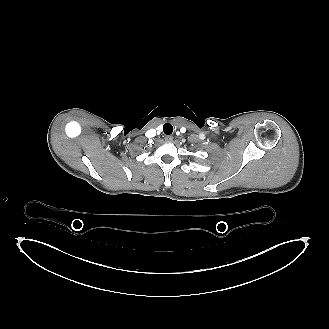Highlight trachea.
Listing matches in <instances>:
<instances>
[{"instance_id": "1", "label": "trachea", "mask_w": 329, "mask_h": 329, "mask_svg": "<svg viewBox=\"0 0 329 329\" xmlns=\"http://www.w3.org/2000/svg\"><path fill=\"white\" fill-rule=\"evenodd\" d=\"M163 131L166 135H170L173 132V126L170 123H165L163 126Z\"/></svg>"}]
</instances>
